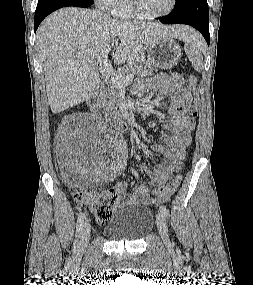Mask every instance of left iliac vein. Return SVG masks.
Returning <instances> with one entry per match:
<instances>
[{"label":"left iliac vein","mask_w":253,"mask_h":285,"mask_svg":"<svg viewBox=\"0 0 253 285\" xmlns=\"http://www.w3.org/2000/svg\"><path fill=\"white\" fill-rule=\"evenodd\" d=\"M156 224H157L159 233L161 235V238L163 240V243L167 247H170L171 246V242H170L169 235H168L167 223H166V219H165V217L163 216L162 213H158L156 215Z\"/></svg>","instance_id":"left-iliac-vein-1"}]
</instances>
